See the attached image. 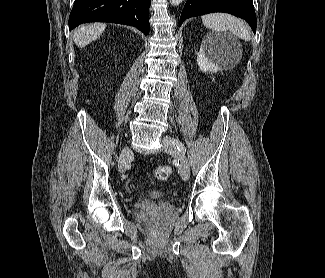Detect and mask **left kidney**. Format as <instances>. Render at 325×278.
I'll return each mask as SVG.
<instances>
[{
  "label": "left kidney",
  "instance_id": "left-kidney-1",
  "mask_svg": "<svg viewBox=\"0 0 325 278\" xmlns=\"http://www.w3.org/2000/svg\"><path fill=\"white\" fill-rule=\"evenodd\" d=\"M229 53L230 49L224 38L209 35L203 40L197 53V64L203 72L216 73L222 70V57Z\"/></svg>",
  "mask_w": 325,
  "mask_h": 278
}]
</instances>
